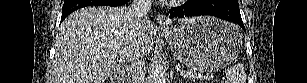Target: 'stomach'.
<instances>
[{
  "label": "stomach",
  "mask_w": 307,
  "mask_h": 83,
  "mask_svg": "<svg viewBox=\"0 0 307 83\" xmlns=\"http://www.w3.org/2000/svg\"><path fill=\"white\" fill-rule=\"evenodd\" d=\"M164 36L173 55L198 72L222 70L237 57L242 46L237 26L208 16L189 18Z\"/></svg>",
  "instance_id": "obj_1"
}]
</instances>
